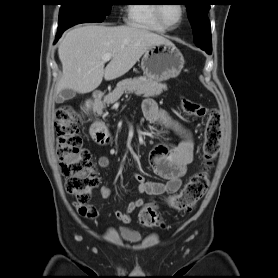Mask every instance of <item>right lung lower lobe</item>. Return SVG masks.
Returning a JSON list of instances; mask_svg holds the SVG:
<instances>
[{
  "label": "right lung lower lobe",
  "instance_id": "obj_1",
  "mask_svg": "<svg viewBox=\"0 0 278 278\" xmlns=\"http://www.w3.org/2000/svg\"><path fill=\"white\" fill-rule=\"evenodd\" d=\"M64 31L65 29H58L55 42H57V40L61 37Z\"/></svg>",
  "mask_w": 278,
  "mask_h": 278
}]
</instances>
